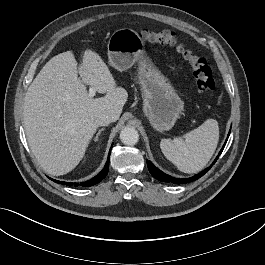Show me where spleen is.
<instances>
[{"label":"spleen","mask_w":265,"mask_h":265,"mask_svg":"<svg viewBox=\"0 0 265 265\" xmlns=\"http://www.w3.org/2000/svg\"><path fill=\"white\" fill-rule=\"evenodd\" d=\"M219 140L218 122L206 120L184 138L162 139L160 148L164 156L184 173L202 170L214 154Z\"/></svg>","instance_id":"spleen-1"}]
</instances>
